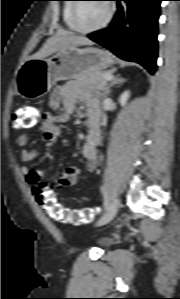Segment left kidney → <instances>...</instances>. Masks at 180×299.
Returning a JSON list of instances; mask_svg holds the SVG:
<instances>
[{"label":"left kidney","mask_w":180,"mask_h":299,"mask_svg":"<svg viewBox=\"0 0 180 299\" xmlns=\"http://www.w3.org/2000/svg\"><path fill=\"white\" fill-rule=\"evenodd\" d=\"M129 97H130V92H129V91H125V92L120 96V98H119V103H120L122 106H124V105L127 103Z\"/></svg>","instance_id":"5707ae66"}]
</instances>
